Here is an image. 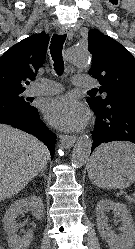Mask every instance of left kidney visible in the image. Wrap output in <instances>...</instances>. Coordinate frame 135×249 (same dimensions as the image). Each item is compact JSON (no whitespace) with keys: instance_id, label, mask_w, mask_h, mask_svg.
I'll use <instances>...</instances> for the list:
<instances>
[{"instance_id":"1","label":"left kidney","mask_w":135,"mask_h":249,"mask_svg":"<svg viewBox=\"0 0 135 249\" xmlns=\"http://www.w3.org/2000/svg\"><path fill=\"white\" fill-rule=\"evenodd\" d=\"M110 210L121 217V235H116L108 225L106 213ZM96 218L99 233L106 240L110 249H131L133 247L135 244V226L125 204L102 199L96 205Z\"/></svg>"}]
</instances>
